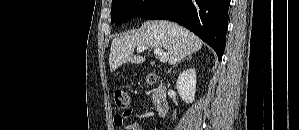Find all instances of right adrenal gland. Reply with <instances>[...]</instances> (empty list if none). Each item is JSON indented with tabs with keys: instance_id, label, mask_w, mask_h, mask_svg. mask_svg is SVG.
Wrapping results in <instances>:
<instances>
[{
	"instance_id": "2a0ac1e0",
	"label": "right adrenal gland",
	"mask_w": 299,
	"mask_h": 130,
	"mask_svg": "<svg viewBox=\"0 0 299 130\" xmlns=\"http://www.w3.org/2000/svg\"><path fill=\"white\" fill-rule=\"evenodd\" d=\"M186 60H187V61H191V60H192L191 55H188L187 58H186ZM176 66H177V64L175 65V67H176Z\"/></svg>"
}]
</instances>
